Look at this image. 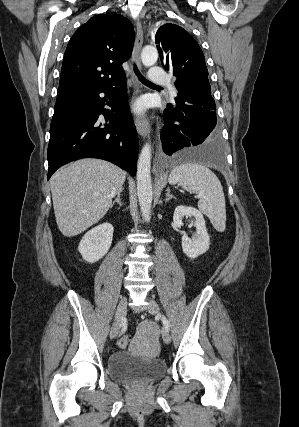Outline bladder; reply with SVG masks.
Here are the masks:
<instances>
[{
  "label": "bladder",
  "mask_w": 299,
  "mask_h": 427,
  "mask_svg": "<svg viewBox=\"0 0 299 427\" xmlns=\"http://www.w3.org/2000/svg\"><path fill=\"white\" fill-rule=\"evenodd\" d=\"M108 375L118 382H152L164 376L166 363L161 359H144L127 351H118L108 359Z\"/></svg>",
  "instance_id": "bladder-1"
}]
</instances>
